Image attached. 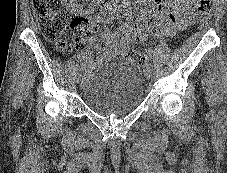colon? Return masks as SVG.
Masks as SVG:
<instances>
[{
	"instance_id": "1",
	"label": "colon",
	"mask_w": 227,
	"mask_h": 173,
	"mask_svg": "<svg viewBox=\"0 0 227 173\" xmlns=\"http://www.w3.org/2000/svg\"><path fill=\"white\" fill-rule=\"evenodd\" d=\"M214 0H198L197 9L202 14L210 13ZM35 18L45 38L55 43L56 49L63 51L67 46L66 33L72 29L78 37L90 31L91 25L84 19L71 20L69 15L61 9V0H31ZM100 27V26H98ZM77 49H87L86 44L79 39ZM129 57L139 63H144L146 57L136 51Z\"/></svg>"
}]
</instances>
